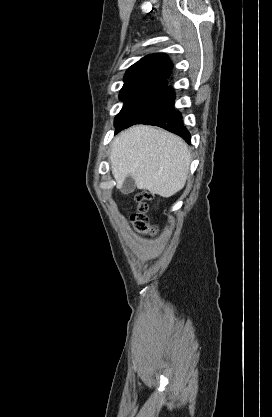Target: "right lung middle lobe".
Returning a JSON list of instances; mask_svg holds the SVG:
<instances>
[{
    "mask_svg": "<svg viewBox=\"0 0 272 417\" xmlns=\"http://www.w3.org/2000/svg\"><path fill=\"white\" fill-rule=\"evenodd\" d=\"M162 89L132 90L121 92L120 100L124 106L115 118L116 132L125 129L140 118L162 94Z\"/></svg>",
    "mask_w": 272,
    "mask_h": 417,
    "instance_id": "obj_1",
    "label": "right lung middle lobe"
}]
</instances>
